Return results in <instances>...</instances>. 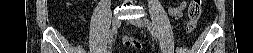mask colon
<instances>
[{
    "label": "colon",
    "mask_w": 253,
    "mask_h": 53,
    "mask_svg": "<svg viewBox=\"0 0 253 53\" xmlns=\"http://www.w3.org/2000/svg\"><path fill=\"white\" fill-rule=\"evenodd\" d=\"M202 13V1L201 0H191L190 5L188 8V17H189V22L187 25V31L188 33L192 32L196 22L200 18ZM125 44L134 47L137 49H141L142 44L140 41L133 39V38H127L125 40Z\"/></svg>",
    "instance_id": "colon-1"
}]
</instances>
